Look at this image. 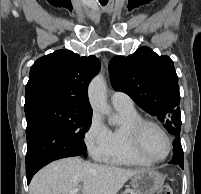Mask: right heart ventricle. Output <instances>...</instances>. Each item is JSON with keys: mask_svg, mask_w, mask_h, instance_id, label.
Returning <instances> with one entry per match:
<instances>
[{"mask_svg": "<svg viewBox=\"0 0 201 194\" xmlns=\"http://www.w3.org/2000/svg\"><path fill=\"white\" fill-rule=\"evenodd\" d=\"M119 122L108 130V147L101 157L105 162L116 165L147 166L151 163L142 158L134 149L131 128L141 116L135 108L115 107Z\"/></svg>", "mask_w": 201, "mask_h": 194, "instance_id": "e07e8e85", "label": "right heart ventricle"}]
</instances>
